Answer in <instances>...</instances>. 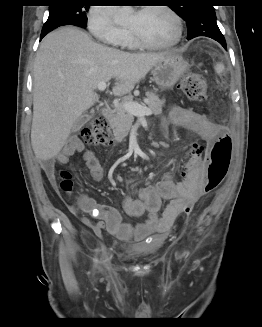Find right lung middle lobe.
Wrapping results in <instances>:
<instances>
[{
	"label": "right lung middle lobe",
	"mask_w": 262,
	"mask_h": 327,
	"mask_svg": "<svg viewBox=\"0 0 262 327\" xmlns=\"http://www.w3.org/2000/svg\"><path fill=\"white\" fill-rule=\"evenodd\" d=\"M56 4L49 6V17L42 31L62 25L77 24L86 27V12L89 6L75 4V0H55Z\"/></svg>",
	"instance_id": "obj_1"
}]
</instances>
